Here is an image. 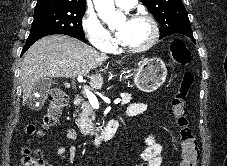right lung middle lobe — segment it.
Returning <instances> with one entry per match:
<instances>
[{
	"label": "right lung middle lobe",
	"mask_w": 227,
	"mask_h": 166,
	"mask_svg": "<svg viewBox=\"0 0 227 166\" xmlns=\"http://www.w3.org/2000/svg\"><path fill=\"white\" fill-rule=\"evenodd\" d=\"M85 10L86 7L72 5L36 6L27 41L52 34H65L83 40L82 17Z\"/></svg>",
	"instance_id": "dd1d6c3e"
}]
</instances>
